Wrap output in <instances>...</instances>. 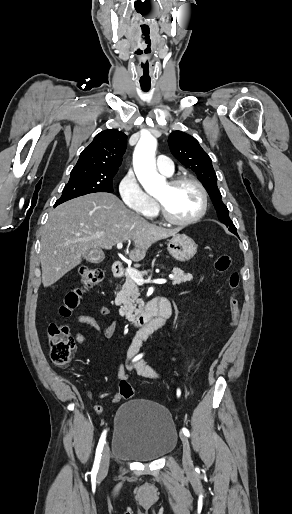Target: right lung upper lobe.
<instances>
[{
    "label": "right lung upper lobe",
    "instance_id": "right-lung-upper-lobe-1",
    "mask_svg": "<svg viewBox=\"0 0 292 514\" xmlns=\"http://www.w3.org/2000/svg\"><path fill=\"white\" fill-rule=\"evenodd\" d=\"M126 147L127 136L123 132L104 130L81 152L71 174L115 176Z\"/></svg>",
    "mask_w": 292,
    "mask_h": 514
}]
</instances>
